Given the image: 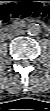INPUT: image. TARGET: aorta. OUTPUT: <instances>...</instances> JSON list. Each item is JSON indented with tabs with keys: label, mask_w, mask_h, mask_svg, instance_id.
<instances>
[{
	"label": "aorta",
	"mask_w": 50,
	"mask_h": 111,
	"mask_svg": "<svg viewBox=\"0 0 50 111\" xmlns=\"http://www.w3.org/2000/svg\"><path fill=\"white\" fill-rule=\"evenodd\" d=\"M26 31L29 35H38L41 31V27L39 26V24L31 23L27 26Z\"/></svg>",
	"instance_id": "762f6f07"
}]
</instances>
